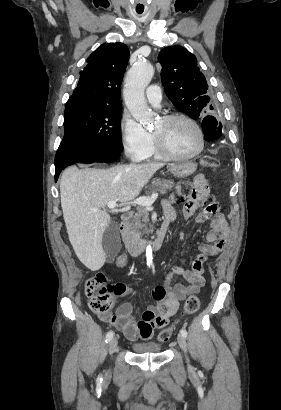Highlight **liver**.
<instances>
[{"label":"liver","instance_id":"1","mask_svg":"<svg viewBox=\"0 0 281 410\" xmlns=\"http://www.w3.org/2000/svg\"><path fill=\"white\" fill-rule=\"evenodd\" d=\"M164 163L118 165L109 169L67 168L60 181L63 218L78 259L91 271L99 270L106 257L102 238L110 224L104 209L110 201L137 197ZM97 208V212L91 210Z\"/></svg>","mask_w":281,"mask_h":410}]
</instances>
